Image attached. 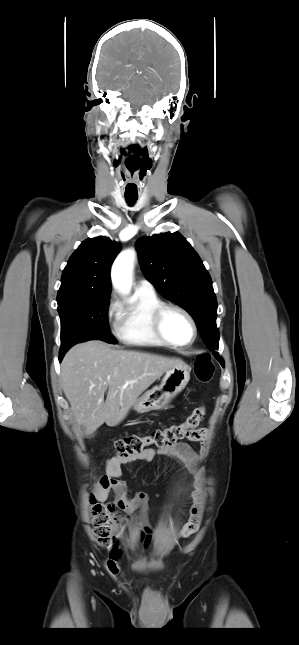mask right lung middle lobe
Masks as SVG:
<instances>
[{"label":"right lung middle lobe","mask_w":299,"mask_h":645,"mask_svg":"<svg viewBox=\"0 0 299 645\" xmlns=\"http://www.w3.org/2000/svg\"><path fill=\"white\" fill-rule=\"evenodd\" d=\"M110 295L71 298L58 304L61 319L60 354L78 342L103 340L115 344L109 331L107 310Z\"/></svg>","instance_id":"dd1d6c3e"}]
</instances>
